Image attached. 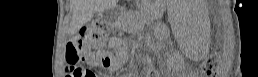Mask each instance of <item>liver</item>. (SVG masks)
Returning a JSON list of instances; mask_svg holds the SVG:
<instances>
[{"mask_svg":"<svg viewBox=\"0 0 258 77\" xmlns=\"http://www.w3.org/2000/svg\"><path fill=\"white\" fill-rule=\"evenodd\" d=\"M73 17L71 31L76 33L88 23L95 13L116 5L117 0H72Z\"/></svg>","mask_w":258,"mask_h":77,"instance_id":"liver-1","label":"liver"}]
</instances>
